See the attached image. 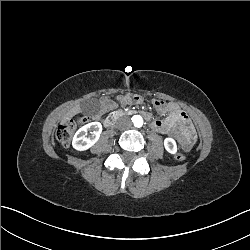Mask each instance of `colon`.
<instances>
[{
  "label": "colon",
  "mask_w": 250,
  "mask_h": 250,
  "mask_svg": "<svg viewBox=\"0 0 250 250\" xmlns=\"http://www.w3.org/2000/svg\"><path fill=\"white\" fill-rule=\"evenodd\" d=\"M128 98H131V103H142V97L138 93H128ZM156 105H167V100H156ZM97 109L96 104H90L88 110L95 111ZM92 121L90 113L81 116L78 119H68L64 121L56 130V139L63 145L68 146L72 141V136L76 128L81 124H86ZM186 158L185 153H173L172 159L183 161Z\"/></svg>",
  "instance_id": "5ec220e1"
}]
</instances>
